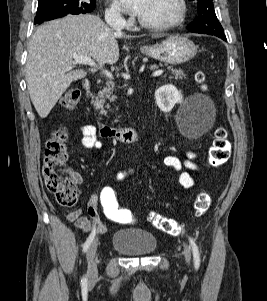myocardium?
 Listing matches in <instances>:
<instances>
[{"instance_id":"myocardium-1","label":"myocardium","mask_w":267,"mask_h":301,"mask_svg":"<svg viewBox=\"0 0 267 301\" xmlns=\"http://www.w3.org/2000/svg\"><path fill=\"white\" fill-rule=\"evenodd\" d=\"M178 5H179V11L177 16L170 22L167 23H161V24H154V23H149L141 19L140 17L138 18V23L146 29L149 30H155V31H167L171 30L180 24H182L187 16V11H188V6L186 0H177Z\"/></svg>"}]
</instances>
